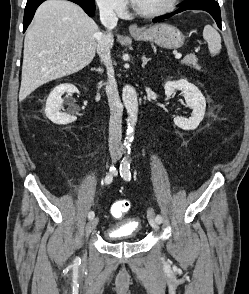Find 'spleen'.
Instances as JSON below:
<instances>
[{"label":"spleen","instance_id":"3e777b00","mask_svg":"<svg viewBox=\"0 0 249 294\" xmlns=\"http://www.w3.org/2000/svg\"><path fill=\"white\" fill-rule=\"evenodd\" d=\"M203 38L207 42L209 52L212 56L220 53L221 37L219 33L211 25H206L204 27Z\"/></svg>","mask_w":249,"mask_h":294}]
</instances>
